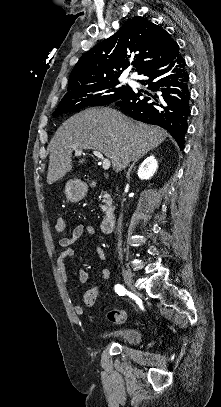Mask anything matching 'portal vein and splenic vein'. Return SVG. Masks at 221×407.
<instances>
[{"label":"portal vein and splenic vein","instance_id":"portal-vein-and-splenic-vein-1","mask_svg":"<svg viewBox=\"0 0 221 407\" xmlns=\"http://www.w3.org/2000/svg\"><path fill=\"white\" fill-rule=\"evenodd\" d=\"M82 154H83L82 150H76L75 151V155H77V156H80ZM93 154L102 161V167H103L104 170H108L110 168V166H111L110 160L105 158L100 151L94 150Z\"/></svg>","mask_w":221,"mask_h":407}]
</instances>
